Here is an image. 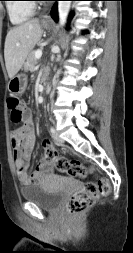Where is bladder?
<instances>
[{"instance_id": "obj_1", "label": "bladder", "mask_w": 133, "mask_h": 253, "mask_svg": "<svg viewBox=\"0 0 133 253\" xmlns=\"http://www.w3.org/2000/svg\"><path fill=\"white\" fill-rule=\"evenodd\" d=\"M20 195L23 200L34 203L45 211H55L63 200V193L51 190L40 184L26 185L20 188Z\"/></svg>"}]
</instances>
